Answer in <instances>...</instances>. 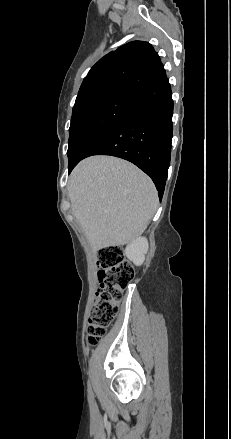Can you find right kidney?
<instances>
[{
	"instance_id": "ca27d5eb",
	"label": "right kidney",
	"mask_w": 231,
	"mask_h": 439,
	"mask_svg": "<svg viewBox=\"0 0 231 439\" xmlns=\"http://www.w3.org/2000/svg\"><path fill=\"white\" fill-rule=\"evenodd\" d=\"M148 251V241L145 237H138L133 240L125 249V255L135 265H141L145 260Z\"/></svg>"
}]
</instances>
